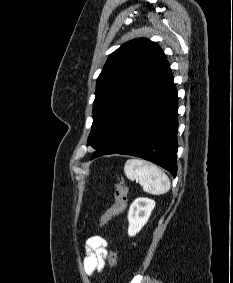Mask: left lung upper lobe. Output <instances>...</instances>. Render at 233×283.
Masks as SVG:
<instances>
[{
    "label": "left lung upper lobe",
    "mask_w": 233,
    "mask_h": 283,
    "mask_svg": "<svg viewBox=\"0 0 233 283\" xmlns=\"http://www.w3.org/2000/svg\"><path fill=\"white\" fill-rule=\"evenodd\" d=\"M166 61L154 42L138 38L123 44L106 61L97 79L88 145L98 150Z\"/></svg>",
    "instance_id": "5c2ea615"
}]
</instances>
